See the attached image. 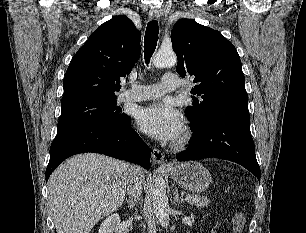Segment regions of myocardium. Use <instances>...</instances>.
Returning a JSON list of instances; mask_svg holds the SVG:
<instances>
[{
  "label": "myocardium",
  "instance_id": "obj_1",
  "mask_svg": "<svg viewBox=\"0 0 306 233\" xmlns=\"http://www.w3.org/2000/svg\"><path fill=\"white\" fill-rule=\"evenodd\" d=\"M192 137V133L190 131V129L188 127H185L180 135V137L176 140V142L174 143V148H183L184 146H186L189 141L191 140Z\"/></svg>",
  "mask_w": 306,
  "mask_h": 233
}]
</instances>
